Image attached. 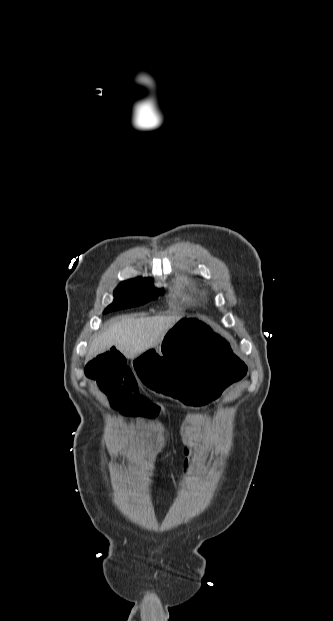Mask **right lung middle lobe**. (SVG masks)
Masks as SVG:
<instances>
[{
    "label": "right lung middle lobe",
    "mask_w": 333,
    "mask_h": 621,
    "mask_svg": "<svg viewBox=\"0 0 333 621\" xmlns=\"http://www.w3.org/2000/svg\"><path fill=\"white\" fill-rule=\"evenodd\" d=\"M163 294V289L154 287L150 278H136L123 281L114 290V301L104 313L143 305L151 300H156Z\"/></svg>",
    "instance_id": "1"
}]
</instances>
